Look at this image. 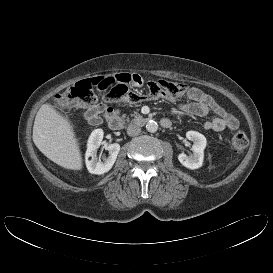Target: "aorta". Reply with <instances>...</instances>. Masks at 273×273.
<instances>
[{
	"label": "aorta",
	"mask_w": 273,
	"mask_h": 273,
	"mask_svg": "<svg viewBox=\"0 0 273 273\" xmlns=\"http://www.w3.org/2000/svg\"><path fill=\"white\" fill-rule=\"evenodd\" d=\"M146 130L151 133L156 132L158 130L157 122L153 120L148 121L146 124Z\"/></svg>",
	"instance_id": "1"
}]
</instances>
